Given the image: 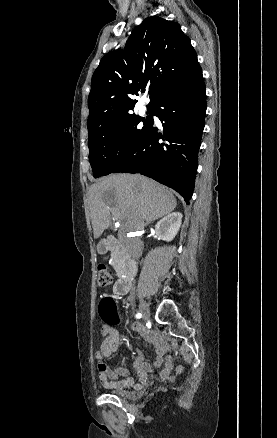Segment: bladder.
Instances as JSON below:
<instances>
[{
    "instance_id": "1",
    "label": "bladder",
    "mask_w": 277,
    "mask_h": 438,
    "mask_svg": "<svg viewBox=\"0 0 277 438\" xmlns=\"http://www.w3.org/2000/svg\"><path fill=\"white\" fill-rule=\"evenodd\" d=\"M110 395L123 400L124 398H126L127 392L120 390V389H117V388H114L110 391Z\"/></svg>"
}]
</instances>
